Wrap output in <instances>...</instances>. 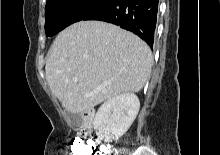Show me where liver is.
<instances>
[{"instance_id":"liver-1","label":"liver","mask_w":220,"mask_h":155,"mask_svg":"<svg viewBox=\"0 0 220 155\" xmlns=\"http://www.w3.org/2000/svg\"><path fill=\"white\" fill-rule=\"evenodd\" d=\"M151 66V50L136 35L106 22L80 21L56 37L45 72L54 96L78 114L122 93L139 92Z\"/></svg>"}]
</instances>
